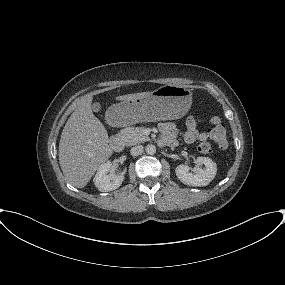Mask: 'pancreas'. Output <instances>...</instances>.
<instances>
[{"label":"pancreas","instance_id":"1","mask_svg":"<svg viewBox=\"0 0 285 285\" xmlns=\"http://www.w3.org/2000/svg\"><path fill=\"white\" fill-rule=\"evenodd\" d=\"M120 137L127 146L143 143L150 140L144 134V127H127L121 130Z\"/></svg>","mask_w":285,"mask_h":285}]
</instances>
